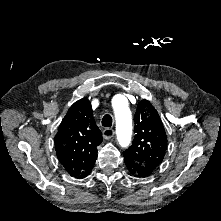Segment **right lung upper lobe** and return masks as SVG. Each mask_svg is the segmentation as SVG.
<instances>
[{"instance_id":"1","label":"right lung upper lobe","mask_w":221,"mask_h":221,"mask_svg":"<svg viewBox=\"0 0 221 221\" xmlns=\"http://www.w3.org/2000/svg\"><path fill=\"white\" fill-rule=\"evenodd\" d=\"M101 140L91 102L78 100L69 108L55 136L57 157L72 177L84 178L95 164Z\"/></svg>"}]
</instances>
